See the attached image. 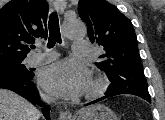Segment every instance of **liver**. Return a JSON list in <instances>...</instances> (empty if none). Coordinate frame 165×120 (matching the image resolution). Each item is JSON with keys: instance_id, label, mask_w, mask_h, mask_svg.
<instances>
[{"instance_id": "6515ba94", "label": "liver", "mask_w": 165, "mask_h": 120, "mask_svg": "<svg viewBox=\"0 0 165 120\" xmlns=\"http://www.w3.org/2000/svg\"><path fill=\"white\" fill-rule=\"evenodd\" d=\"M40 112L16 93L0 89V120H38Z\"/></svg>"}]
</instances>
